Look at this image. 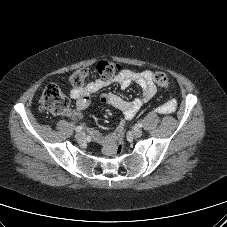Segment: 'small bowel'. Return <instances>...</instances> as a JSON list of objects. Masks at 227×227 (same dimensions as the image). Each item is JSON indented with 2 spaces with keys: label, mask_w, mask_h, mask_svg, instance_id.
<instances>
[{
  "label": "small bowel",
  "mask_w": 227,
  "mask_h": 227,
  "mask_svg": "<svg viewBox=\"0 0 227 227\" xmlns=\"http://www.w3.org/2000/svg\"><path fill=\"white\" fill-rule=\"evenodd\" d=\"M154 74L151 71H134L124 69L120 71L114 78L105 80L98 78L89 82L84 88H74L70 91L71 98L75 101V109L67 112V117L74 121L82 119V111L85 110L91 101V94L102 90L112 83L118 84L122 89L128 88L132 83L137 84L142 89V95L132 101L125 100L113 93H102L100 99L102 102L112 105L123 113L125 120H131L138 111L147 104L155 95L157 89L153 78ZM177 106L175 99H170L167 102L156 108L160 114H168L174 112ZM124 124L119 126L110 134H102L96 130H91L92 138L101 145L105 154H113L121 140Z\"/></svg>",
  "instance_id": "small-bowel-1"
}]
</instances>
